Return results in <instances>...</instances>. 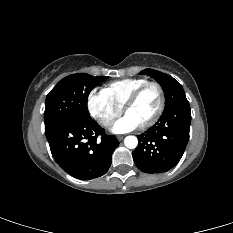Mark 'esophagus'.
Segmentation results:
<instances>
[{
	"label": "esophagus",
	"mask_w": 233,
	"mask_h": 233,
	"mask_svg": "<svg viewBox=\"0 0 233 233\" xmlns=\"http://www.w3.org/2000/svg\"><path fill=\"white\" fill-rule=\"evenodd\" d=\"M123 138H124L123 135H118V136H117V139H118L119 141L123 140Z\"/></svg>",
	"instance_id": "34e87169"
}]
</instances>
